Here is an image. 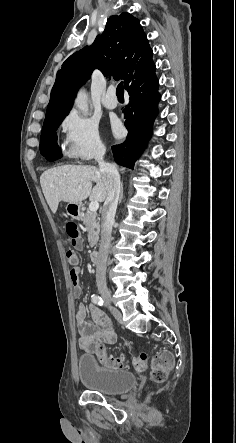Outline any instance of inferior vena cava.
I'll return each mask as SVG.
<instances>
[{
  "mask_svg": "<svg viewBox=\"0 0 236 443\" xmlns=\"http://www.w3.org/2000/svg\"><path fill=\"white\" fill-rule=\"evenodd\" d=\"M104 154L105 148L100 149L96 154L99 170L102 177L106 180L107 187V196L102 211L101 241L96 265V283L100 294L104 300L107 301L106 266L121 184L117 168L104 161Z\"/></svg>",
  "mask_w": 236,
  "mask_h": 443,
  "instance_id": "inferior-vena-cava-1",
  "label": "inferior vena cava"
}]
</instances>
